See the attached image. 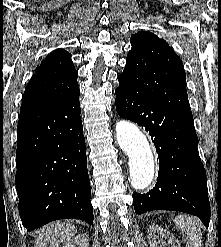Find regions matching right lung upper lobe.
<instances>
[{
	"mask_svg": "<svg viewBox=\"0 0 221 247\" xmlns=\"http://www.w3.org/2000/svg\"><path fill=\"white\" fill-rule=\"evenodd\" d=\"M78 73L71 55L57 49L46 56L29 81L23 96L21 111L55 102L79 90Z\"/></svg>",
	"mask_w": 221,
	"mask_h": 247,
	"instance_id": "cb5924a9",
	"label": "right lung upper lobe"
}]
</instances>
